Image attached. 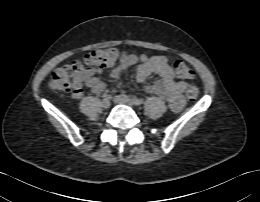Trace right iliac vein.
Returning <instances> with one entry per match:
<instances>
[{
	"mask_svg": "<svg viewBox=\"0 0 260 202\" xmlns=\"http://www.w3.org/2000/svg\"><path fill=\"white\" fill-rule=\"evenodd\" d=\"M101 105L103 108L108 109L110 107L111 103L108 99H103L101 102Z\"/></svg>",
	"mask_w": 260,
	"mask_h": 202,
	"instance_id": "obj_1",
	"label": "right iliac vein"
}]
</instances>
